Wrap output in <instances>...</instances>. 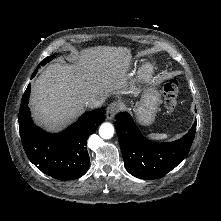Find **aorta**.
<instances>
[{
  "label": "aorta",
  "mask_w": 221,
  "mask_h": 221,
  "mask_svg": "<svg viewBox=\"0 0 221 221\" xmlns=\"http://www.w3.org/2000/svg\"><path fill=\"white\" fill-rule=\"evenodd\" d=\"M99 134L103 139H110L114 135V127L111 123H103L99 128Z\"/></svg>",
  "instance_id": "762f6f07"
}]
</instances>
